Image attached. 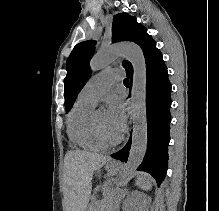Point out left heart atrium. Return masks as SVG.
Masks as SVG:
<instances>
[{"label":"left heart atrium","instance_id":"1","mask_svg":"<svg viewBox=\"0 0 219 211\" xmlns=\"http://www.w3.org/2000/svg\"><path fill=\"white\" fill-rule=\"evenodd\" d=\"M107 118L111 127L120 132L125 128L126 112L122 100L118 96H111L107 100Z\"/></svg>","mask_w":219,"mask_h":211}]
</instances>
